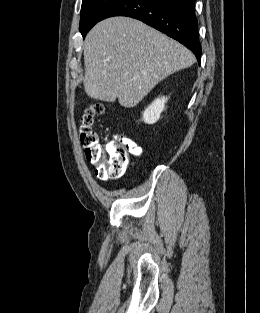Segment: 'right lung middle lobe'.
Returning a JSON list of instances; mask_svg holds the SVG:
<instances>
[{"label": "right lung middle lobe", "mask_w": 260, "mask_h": 313, "mask_svg": "<svg viewBox=\"0 0 260 313\" xmlns=\"http://www.w3.org/2000/svg\"><path fill=\"white\" fill-rule=\"evenodd\" d=\"M117 0H83L80 16V32L83 36L100 20Z\"/></svg>", "instance_id": "1"}]
</instances>
